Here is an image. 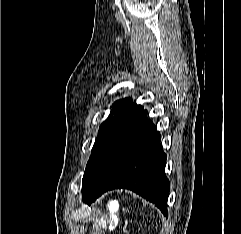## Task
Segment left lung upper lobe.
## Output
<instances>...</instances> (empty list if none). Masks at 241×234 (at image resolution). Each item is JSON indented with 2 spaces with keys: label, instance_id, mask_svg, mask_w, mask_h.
<instances>
[{
  "label": "left lung upper lobe",
  "instance_id": "5c2ea615",
  "mask_svg": "<svg viewBox=\"0 0 241 234\" xmlns=\"http://www.w3.org/2000/svg\"><path fill=\"white\" fill-rule=\"evenodd\" d=\"M137 107L138 105L133 103L131 98L116 101L113 104V110L111 111L110 116L100 126L98 137L93 146L82 180L83 201L85 200L90 183L101 167L113 141L117 137L129 116Z\"/></svg>",
  "mask_w": 241,
  "mask_h": 234
}]
</instances>
